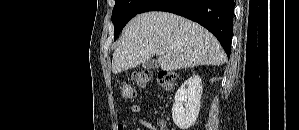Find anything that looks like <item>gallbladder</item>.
<instances>
[{
    "label": "gallbladder",
    "mask_w": 299,
    "mask_h": 130,
    "mask_svg": "<svg viewBox=\"0 0 299 130\" xmlns=\"http://www.w3.org/2000/svg\"><path fill=\"white\" fill-rule=\"evenodd\" d=\"M144 69H156L158 68V63L155 60H148L141 64Z\"/></svg>",
    "instance_id": "bac80fb5"
}]
</instances>
